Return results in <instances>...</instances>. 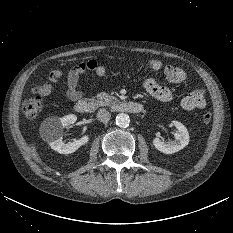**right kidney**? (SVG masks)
Segmentation results:
<instances>
[{
    "label": "right kidney",
    "instance_id": "1",
    "mask_svg": "<svg viewBox=\"0 0 233 233\" xmlns=\"http://www.w3.org/2000/svg\"><path fill=\"white\" fill-rule=\"evenodd\" d=\"M76 120L77 117L74 114L66 115L62 118L49 117L44 120L41 125L43 137L53 150L60 154H70L75 152L78 148H80V146L88 143V135H84L80 139H75L73 142H63V129L74 124Z\"/></svg>",
    "mask_w": 233,
    "mask_h": 233
}]
</instances>
